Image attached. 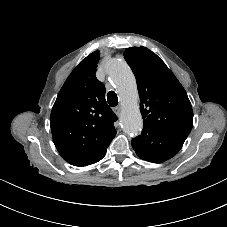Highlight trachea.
<instances>
[{"mask_svg": "<svg viewBox=\"0 0 227 227\" xmlns=\"http://www.w3.org/2000/svg\"><path fill=\"white\" fill-rule=\"evenodd\" d=\"M107 101L111 107H115L118 104V98L114 91H110L107 94Z\"/></svg>", "mask_w": 227, "mask_h": 227, "instance_id": "1", "label": "trachea"}]
</instances>
